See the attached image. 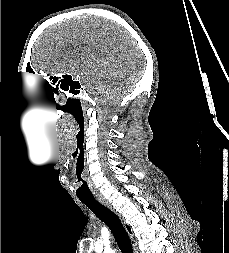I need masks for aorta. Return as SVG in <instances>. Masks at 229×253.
<instances>
[{
  "instance_id": "obj_1",
  "label": "aorta",
  "mask_w": 229,
  "mask_h": 253,
  "mask_svg": "<svg viewBox=\"0 0 229 253\" xmlns=\"http://www.w3.org/2000/svg\"><path fill=\"white\" fill-rule=\"evenodd\" d=\"M104 253H115L113 250H111V249H106L105 251H104Z\"/></svg>"
}]
</instances>
